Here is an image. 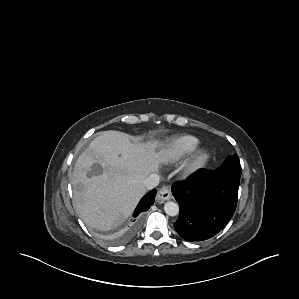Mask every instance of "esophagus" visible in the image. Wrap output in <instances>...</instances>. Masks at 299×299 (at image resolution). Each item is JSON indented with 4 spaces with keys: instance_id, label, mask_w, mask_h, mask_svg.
<instances>
[{
    "instance_id": "1",
    "label": "esophagus",
    "mask_w": 299,
    "mask_h": 299,
    "mask_svg": "<svg viewBox=\"0 0 299 299\" xmlns=\"http://www.w3.org/2000/svg\"><path fill=\"white\" fill-rule=\"evenodd\" d=\"M172 198L171 191L168 187H162L157 193L156 199L160 202L170 200Z\"/></svg>"
}]
</instances>
